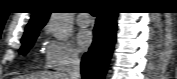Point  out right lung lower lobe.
Returning <instances> with one entry per match:
<instances>
[{
	"instance_id": "1",
	"label": "right lung lower lobe",
	"mask_w": 177,
	"mask_h": 79,
	"mask_svg": "<svg viewBox=\"0 0 177 79\" xmlns=\"http://www.w3.org/2000/svg\"><path fill=\"white\" fill-rule=\"evenodd\" d=\"M116 12H99L94 28V40L81 63L83 79H104L116 40Z\"/></svg>"
}]
</instances>
